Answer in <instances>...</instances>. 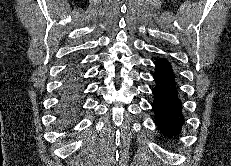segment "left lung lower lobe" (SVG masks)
<instances>
[{
    "label": "left lung lower lobe",
    "mask_w": 231,
    "mask_h": 166,
    "mask_svg": "<svg viewBox=\"0 0 231 166\" xmlns=\"http://www.w3.org/2000/svg\"><path fill=\"white\" fill-rule=\"evenodd\" d=\"M152 89L155 123L166 137H176L184 123L182 103L177 92V80L171 63L163 58L156 59Z\"/></svg>",
    "instance_id": "1"
}]
</instances>
